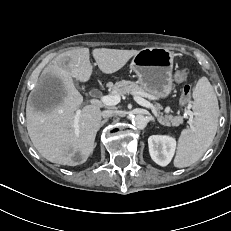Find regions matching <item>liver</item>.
<instances>
[{"label":"liver","instance_id":"6515ba94","mask_svg":"<svg viewBox=\"0 0 231 231\" xmlns=\"http://www.w3.org/2000/svg\"><path fill=\"white\" fill-rule=\"evenodd\" d=\"M138 52L95 48L92 55L103 73L112 74L123 68ZM92 72L89 48L78 47L63 52L44 68L37 83L46 81L53 86L50 100L35 104L32 95L28 99L26 123L29 137L41 156L50 162L79 165L87 161L94 149L102 113L100 107L93 104L79 109L83 97L73 81L75 78L87 82ZM78 110L81 114L76 129L75 115Z\"/></svg>","mask_w":231,"mask_h":231}]
</instances>
